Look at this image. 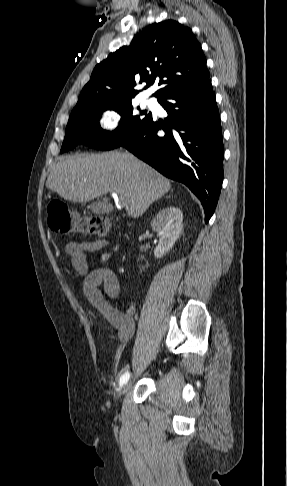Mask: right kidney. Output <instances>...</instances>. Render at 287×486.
<instances>
[{
	"mask_svg": "<svg viewBox=\"0 0 287 486\" xmlns=\"http://www.w3.org/2000/svg\"><path fill=\"white\" fill-rule=\"evenodd\" d=\"M183 213L179 208L166 207L160 210L151 222V228L160 236L154 250L155 258L163 257L172 247L182 232ZM143 259V256H142Z\"/></svg>",
	"mask_w": 287,
	"mask_h": 486,
	"instance_id": "ca27d5eb",
	"label": "right kidney"
}]
</instances>
